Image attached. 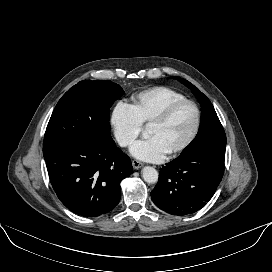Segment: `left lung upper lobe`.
<instances>
[{
	"label": "left lung upper lobe",
	"mask_w": 272,
	"mask_h": 272,
	"mask_svg": "<svg viewBox=\"0 0 272 272\" xmlns=\"http://www.w3.org/2000/svg\"><path fill=\"white\" fill-rule=\"evenodd\" d=\"M186 85L201 105V123L196 138L183 150L184 154H208L225 160L226 135L213 105L207 96L193 84L180 77H175Z\"/></svg>",
	"instance_id": "obj_1"
}]
</instances>
